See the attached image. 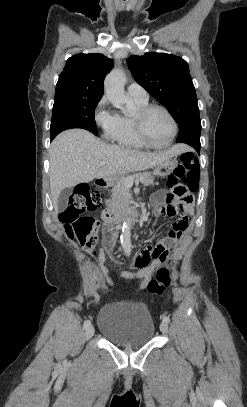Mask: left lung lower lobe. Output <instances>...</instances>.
Returning <instances> with one entry per match:
<instances>
[{
	"instance_id": "0a47b994",
	"label": "left lung lower lobe",
	"mask_w": 247,
	"mask_h": 407,
	"mask_svg": "<svg viewBox=\"0 0 247 407\" xmlns=\"http://www.w3.org/2000/svg\"><path fill=\"white\" fill-rule=\"evenodd\" d=\"M183 143L192 146L198 152V154H200V139L185 140Z\"/></svg>"
}]
</instances>
